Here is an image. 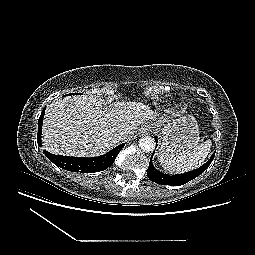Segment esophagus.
Listing matches in <instances>:
<instances>
[{
    "instance_id": "34e87169",
    "label": "esophagus",
    "mask_w": 255,
    "mask_h": 255,
    "mask_svg": "<svg viewBox=\"0 0 255 255\" xmlns=\"http://www.w3.org/2000/svg\"><path fill=\"white\" fill-rule=\"evenodd\" d=\"M152 130V126L149 124H144L139 128V134L140 135H145V134H149Z\"/></svg>"
}]
</instances>
